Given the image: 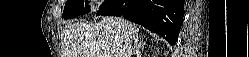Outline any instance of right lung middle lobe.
I'll return each mask as SVG.
<instances>
[{
  "instance_id": "right-lung-middle-lobe-1",
  "label": "right lung middle lobe",
  "mask_w": 249,
  "mask_h": 57,
  "mask_svg": "<svg viewBox=\"0 0 249 57\" xmlns=\"http://www.w3.org/2000/svg\"><path fill=\"white\" fill-rule=\"evenodd\" d=\"M109 1L110 0H105L101 7H103ZM83 2L84 0H68L65 4L62 18L69 19L81 14H86L88 12V6L84 8Z\"/></svg>"
}]
</instances>
